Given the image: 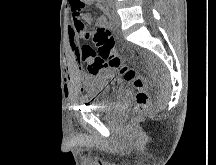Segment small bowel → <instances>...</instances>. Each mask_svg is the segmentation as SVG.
<instances>
[{"label": "small bowel", "instance_id": "small-bowel-1", "mask_svg": "<svg viewBox=\"0 0 216 165\" xmlns=\"http://www.w3.org/2000/svg\"><path fill=\"white\" fill-rule=\"evenodd\" d=\"M104 0H85L87 6L98 5L103 14L97 20V26H110V20L108 17V11L104 6ZM92 18L89 13L85 12L83 5H78V8L72 7V20L68 28V40L70 49L75 53L77 60L82 61L80 54L79 40H89L90 33L85 29V22H91ZM89 72V71H88ZM90 73V72H89ZM91 75H95L90 73ZM83 90V89H82Z\"/></svg>", "mask_w": 216, "mask_h": 165}]
</instances>
